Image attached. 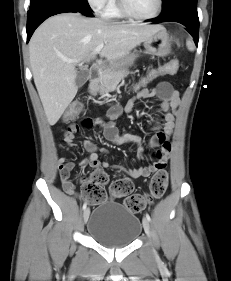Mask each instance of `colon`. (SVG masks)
<instances>
[{
  "label": "colon",
  "instance_id": "1",
  "mask_svg": "<svg viewBox=\"0 0 231 281\" xmlns=\"http://www.w3.org/2000/svg\"><path fill=\"white\" fill-rule=\"evenodd\" d=\"M179 69V62L176 59L151 69L147 74L142 76L136 82L128 87V91L139 93L148 88L149 84L160 76L173 75ZM82 109V105L78 102L72 103L66 111V118L71 119L76 117ZM107 176L102 170H95L91 178L83 185V196L91 204H98L107 198L105 184ZM168 186V173L165 170H158L151 178L148 191L144 194H131L133 190V182L127 177H120L115 180L109 188V195L112 198L126 197L124 205L130 211L138 213L153 201L161 198Z\"/></svg>",
  "mask_w": 231,
  "mask_h": 281
}]
</instances>
